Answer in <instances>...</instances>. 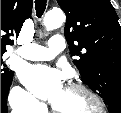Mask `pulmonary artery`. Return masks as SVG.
<instances>
[{
    "instance_id": "pulmonary-artery-1",
    "label": "pulmonary artery",
    "mask_w": 121,
    "mask_h": 113,
    "mask_svg": "<svg viewBox=\"0 0 121 113\" xmlns=\"http://www.w3.org/2000/svg\"><path fill=\"white\" fill-rule=\"evenodd\" d=\"M64 49V38L61 35L52 36L47 46L28 44L19 49L21 57L31 61H49Z\"/></svg>"
}]
</instances>
